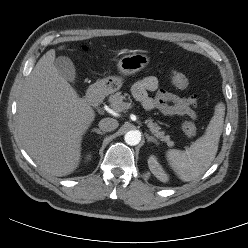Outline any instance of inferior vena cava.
<instances>
[{
	"label": "inferior vena cava",
	"mask_w": 248,
	"mask_h": 248,
	"mask_svg": "<svg viewBox=\"0 0 248 248\" xmlns=\"http://www.w3.org/2000/svg\"><path fill=\"white\" fill-rule=\"evenodd\" d=\"M99 128L104 132H110L118 127V121L113 118H104L99 122Z\"/></svg>",
	"instance_id": "inferior-vena-cava-1"
}]
</instances>
